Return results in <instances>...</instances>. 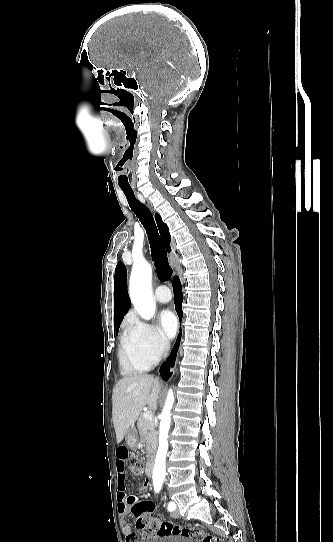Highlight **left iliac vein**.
<instances>
[{
    "mask_svg": "<svg viewBox=\"0 0 333 542\" xmlns=\"http://www.w3.org/2000/svg\"><path fill=\"white\" fill-rule=\"evenodd\" d=\"M178 515H179L178 512L175 511V512H173V515H172V516H173V517H178Z\"/></svg>",
    "mask_w": 333,
    "mask_h": 542,
    "instance_id": "left-iliac-vein-1",
    "label": "left iliac vein"
}]
</instances>
